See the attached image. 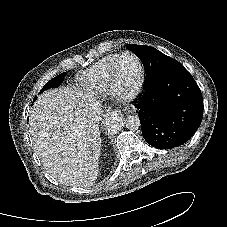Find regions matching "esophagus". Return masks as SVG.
Returning a JSON list of instances; mask_svg holds the SVG:
<instances>
[{
	"instance_id": "34e87169",
	"label": "esophagus",
	"mask_w": 227,
	"mask_h": 227,
	"mask_svg": "<svg viewBox=\"0 0 227 227\" xmlns=\"http://www.w3.org/2000/svg\"><path fill=\"white\" fill-rule=\"evenodd\" d=\"M111 110V112H108V114L107 115H111V114H114V115H116V116H118V117H122V114H121V111L118 109V108H110Z\"/></svg>"
}]
</instances>
